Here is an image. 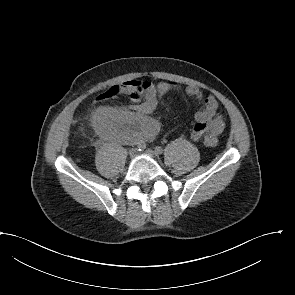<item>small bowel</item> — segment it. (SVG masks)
Listing matches in <instances>:
<instances>
[{
  "mask_svg": "<svg viewBox=\"0 0 295 295\" xmlns=\"http://www.w3.org/2000/svg\"><path fill=\"white\" fill-rule=\"evenodd\" d=\"M170 81L148 82L131 80L120 85V90L134 101L132 111L112 107L98 108L92 122L102 137L118 142L135 143L152 139L158 132V123L150 117L160 104L163 95L178 90ZM188 96L200 103L195 113L191 137L199 140L206 134L218 136L224 129L223 116L218 112V102L211 94H204L198 87L187 86Z\"/></svg>",
  "mask_w": 295,
  "mask_h": 295,
  "instance_id": "1",
  "label": "small bowel"
}]
</instances>
